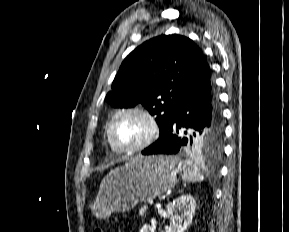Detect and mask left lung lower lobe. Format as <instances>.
Masks as SVG:
<instances>
[{
  "label": "left lung lower lobe",
  "mask_w": 289,
  "mask_h": 232,
  "mask_svg": "<svg viewBox=\"0 0 289 232\" xmlns=\"http://www.w3.org/2000/svg\"><path fill=\"white\" fill-rule=\"evenodd\" d=\"M222 123L211 69L206 63L182 93L166 132L143 155L186 153L195 136Z\"/></svg>",
  "instance_id": "0a47b994"
}]
</instances>
